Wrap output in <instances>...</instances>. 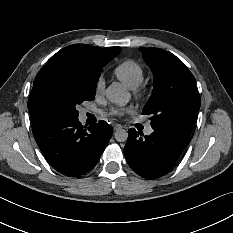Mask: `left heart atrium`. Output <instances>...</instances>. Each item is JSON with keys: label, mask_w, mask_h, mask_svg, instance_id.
<instances>
[{"label": "left heart atrium", "mask_w": 233, "mask_h": 233, "mask_svg": "<svg viewBox=\"0 0 233 233\" xmlns=\"http://www.w3.org/2000/svg\"><path fill=\"white\" fill-rule=\"evenodd\" d=\"M124 111H119V112H116V114H123Z\"/></svg>", "instance_id": "obj_1"}]
</instances>
